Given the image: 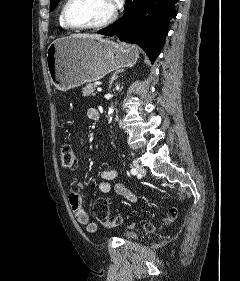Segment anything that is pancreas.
I'll use <instances>...</instances> for the list:
<instances>
[{
    "label": "pancreas",
    "instance_id": "pancreas-1",
    "mask_svg": "<svg viewBox=\"0 0 240 281\" xmlns=\"http://www.w3.org/2000/svg\"><path fill=\"white\" fill-rule=\"evenodd\" d=\"M95 84H88L82 89L83 96H94L95 93Z\"/></svg>",
    "mask_w": 240,
    "mask_h": 281
}]
</instances>
